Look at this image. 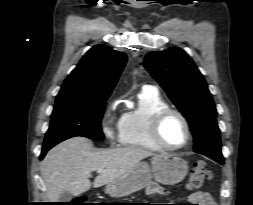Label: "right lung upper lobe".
<instances>
[{"instance_id":"obj_1","label":"right lung upper lobe","mask_w":253,"mask_h":205,"mask_svg":"<svg viewBox=\"0 0 253 205\" xmlns=\"http://www.w3.org/2000/svg\"><path fill=\"white\" fill-rule=\"evenodd\" d=\"M126 60L125 53L106 45L92 47L64 81L56 102L107 99Z\"/></svg>"}]
</instances>
